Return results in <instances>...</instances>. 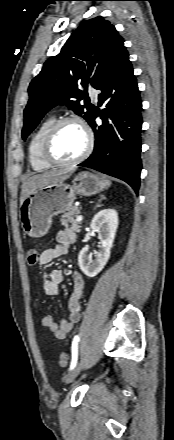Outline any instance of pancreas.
<instances>
[{"mask_svg": "<svg viewBox=\"0 0 174 440\" xmlns=\"http://www.w3.org/2000/svg\"><path fill=\"white\" fill-rule=\"evenodd\" d=\"M80 214V209L77 206L72 207L65 212L61 218V224L72 231L80 232V222L76 221Z\"/></svg>", "mask_w": 174, "mask_h": 440, "instance_id": "obj_1", "label": "pancreas"}]
</instances>
